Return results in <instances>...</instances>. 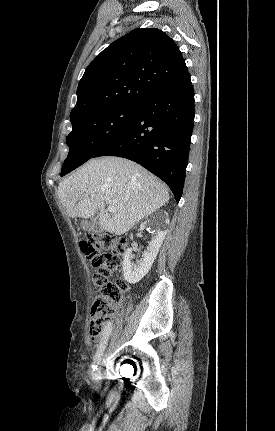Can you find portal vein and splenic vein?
Wrapping results in <instances>:
<instances>
[{
	"label": "portal vein and splenic vein",
	"instance_id": "obj_1",
	"mask_svg": "<svg viewBox=\"0 0 275 431\" xmlns=\"http://www.w3.org/2000/svg\"><path fill=\"white\" fill-rule=\"evenodd\" d=\"M107 210H108L109 212H111V213H115V212H116L115 207H114V206H111V205H109V206H108Z\"/></svg>",
	"mask_w": 275,
	"mask_h": 431
}]
</instances>
